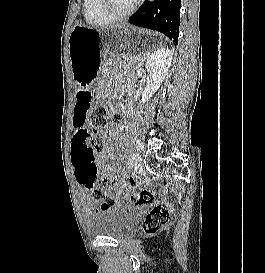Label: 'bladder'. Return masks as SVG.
<instances>
[{
    "label": "bladder",
    "mask_w": 265,
    "mask_h": 273,
    "mask_svg": "<svg viewBox=\"0 0 265 273\" xmlns=\"http://www.w3.org/2000/svg\"><path fill=\"white\" fill-rule=\"evenodd\" d=\"M84 222L88 233L92 236L123 240L135 233L138 212L133 206L117 204L90 213Z\"/></svg>",
    "instance_id": "obj_1"
}]
</instances>
